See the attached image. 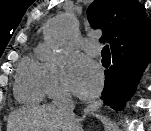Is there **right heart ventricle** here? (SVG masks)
Here are the masks:
<instances>
[{"mask_svg": "<svg viewBox=\"0 0 151 131\" xmlns=\"http://www.w3.org/2000/svg\"><path fill=\"white\" fill-rule=\"evenodd\" d=\"M14 94L19 102L27 105H35L43 100L46 91L41 62L31 56L21 61L15 80Z\"/></svg>", "mask_w": 151, "mask_h": 131, "instance_id": "right-heart-ventricle-1", "label": "right heart ventricle"}]
</instances>
